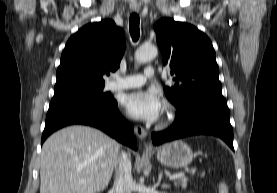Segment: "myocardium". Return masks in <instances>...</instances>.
Returning a JSON list of instances; mask_svg holds the SVG:
<instances>
[{"label": "myocardium", "mask_w": 277, "mask_h": 193, "mask_svg": "<svg viewBox=\"0 0 277 193\" xmlns=\"http://www.w3.org/2000/svg\"><path fill=\"white\" fill-rule=\"evenodd\" d=\"M175 116V108L170 102H166L164 105V113L158 124L159 127L168 125Z\"/></svg>", "instance_id": "obj_1"}]
</instances>
